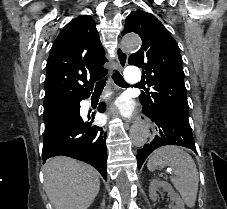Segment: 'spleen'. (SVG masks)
Instances as JSON below:
<instances>
[{
    "label": "spleen",
    "mask_w": 227,
    "mask_h": 209,
    "mask_svg": "<svg viewBox=\"0 0 227 209\" xmlns=\"http://www.w3.org/2000/svg\"><path fill=\"white\" fill-rule=\"evenodd\" d=\"M147 167L149 171H156V169L162 171L164 167L174 169L171 183L180 193L186 207L189 209L195 207L199 175L192 157L184 151L183 147H175V145L160 147L151 155Z\"/></svg>",
    "instance_id": "1"
}]
</instances>
